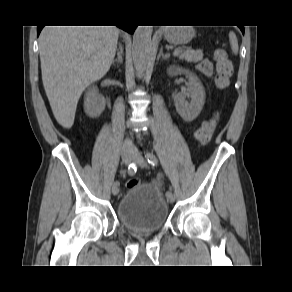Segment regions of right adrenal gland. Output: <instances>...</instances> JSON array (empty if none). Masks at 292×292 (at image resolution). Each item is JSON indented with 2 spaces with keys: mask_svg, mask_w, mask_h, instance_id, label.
<instances>
[{
  "mask_svg": "<svg viewBox=\"0 0 292 292\" xmlns=\"http://www.w3.org/2000/svg\"><path fill=\"white\" fill-rule=\"evenodd\" d=\"M122 55H123V48H122V46L120 45L119 46V51H118V53H117V58L115 59V60H113V65L115 64V63H117V64H122L123 63V57H122Z\"/></svg>",
  "mask_w": 292,
  "mask_h": 292,
  "instance_id": "right-adrenal-gland-1",
  "label": "right adrenal gland"
}]
</instances>
